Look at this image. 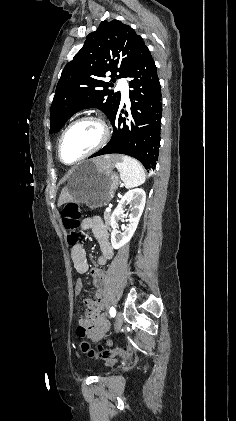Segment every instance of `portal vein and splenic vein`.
I'll use <instances>...</instances> for the list:
<instances>
[{
  "mask_svg": "<svg viewBox=\"0 0 236 421\" xmlns=\"http://www.w3.org/2000/svg\"><path fill=\"white\" fill-rule=\"evenodd\" d=\"M110 211H111V208L110 206H108V208H106V213H110Z\"/></svg>",
  "mask_w": 236,
  "mask_h": 421,
  "instance_id": "1",
  "label": "portal vein and splenic vein"
}]
</instances>
